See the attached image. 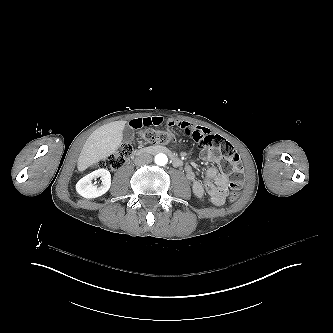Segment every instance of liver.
I'll use <instances>...</instances> for the list:
<instances>
[{
	"label": "liver",
	"mask_w": 333,
	"mask_h": 333,
	"mask_svg": "<svg viewBox=\"0 0 333 333\" xmlns=\"http://www.w3.org/2000/svg\"><path fill=\"white\" fill-rule=\"evenodd\" d=\"M127 124L126 120L113 121L92 132L78 157V172H84L92 165L115 154L122 145V132Z\"/></svg>",
	"instance_id": "obj_1"
}]
</instances>
